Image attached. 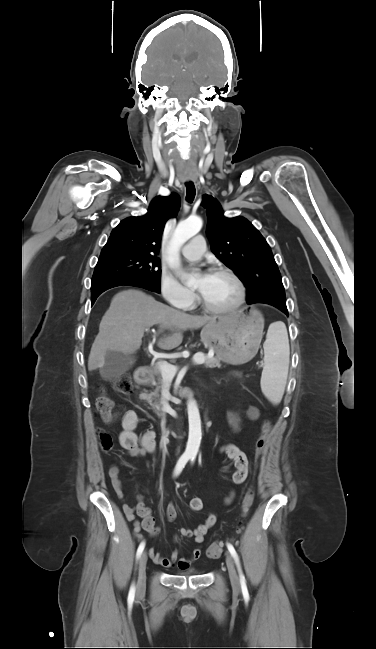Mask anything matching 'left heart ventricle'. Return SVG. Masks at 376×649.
<instances>
[{
    "mask_svg": "<svg viewBox=\"0 0 376 649\" xmlns=\"http://www.w3.org/2000/svg\"><path fill=\"white\" fill-rule=\"evenodd\" d=\"M195 287L207 303L213 307L229 306L238 297L236 284L228 275L222 273H211L205 282H202L199 278Z\"/></svg>",
    "mask_w": 376,
    "mask_h": 649,
    "instance_id": "left-heart-ventricle-1",
    "label": "left heart ventricle"
}]
</instances>
